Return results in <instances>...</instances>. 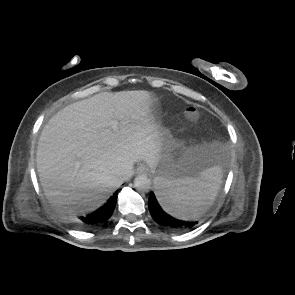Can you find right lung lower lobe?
<instances>
[{
  "instance_id": "1",
  "label": "right lung lower lobe",
  "mask_w": 295,
  "mask_h": 295,
  "mask_svg": "<svg viewBox=\"0 0 295 295\" xmlns=\"http://www.w3.org/2000/svg\"><path fill=\"white\" fill-rule=\"evenodd\" d=\"M117 201V193L113 195L109 201L97 211L81 217L82 224L85 227H94L107 221L115 208Z\"/></svg>"
}]
</instances>
